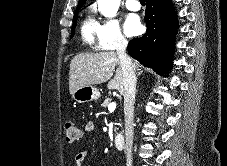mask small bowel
I'll use <instances>...</instances> for the list:
<instances>
[{
	"instance_id": "small-bowel-1",
	"label": "small bowel",
	"mask_w": 227,
	"mask_h": 166,
	"mask_svg": "<svg viewBox=\"0 0 227 166\" xmlns=\"http://www.w3.org/2000/svg\"><path fill=\"white\" fill-rule=\"evenodd\" d=\"M96 130V126L93 122H89L86 124L85 126V131L89 134L94 133ZM88 155V151L87 150H83L81 152H79L76 156H75V160L77 162L78 165H80L87 157Z\"/></svg>"
}]
</instances>
